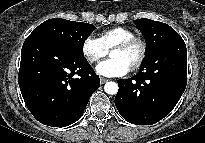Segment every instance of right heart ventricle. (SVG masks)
Segmentation results:
<instances>
[{
	"label": "right heart ventricle",
	"mask_w": 205,
	"mask_h": 143,
	"mask_svg": "<svg viewBox=\"0 0 205 143\" xmlns=\"http://www.w3.org/2000/svg\"><path fill=\"white\" fill-rule=\"evenodd\" d=\"M135 36V33L126 27H113L104 30L99 35L102 45L109 51L114 45Z\"/></svg>",
	"instance_id": "right-heart-ventricle-1"
}]
</instances>
